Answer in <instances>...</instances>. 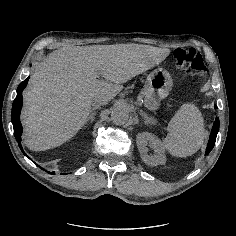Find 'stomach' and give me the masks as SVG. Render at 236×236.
Segmentation results:
<instances>
[{
	"label": "stomach",
	"mask_w": 236,
	"mask_h": 236,
	"mask_svg": "<svg viewBox=\"0 0 236 236\" xmlns=\"http://www.w3.org/2000/svg\"><path fill=\"white\" fill-rule=\"evenodd\" d=\"M172 86V78L166 70H154L148 75L144 85L145 106L150 110L158 109L159 102L167 97Z\"/></svg>",
	"instance_id": "0dacf381"
}]
</instances>
